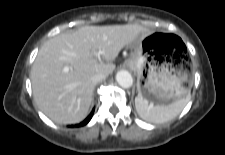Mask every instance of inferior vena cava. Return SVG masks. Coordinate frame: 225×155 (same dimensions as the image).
<instances>
[{
	"mask_svg": "<svg viewBox=\"0 0 225 155\" xmlns=\"http://www.w3.org/2000/svg\"><path fill=\"white\" fill-rule=\"evenodd\" d=\"M105 77H106L105 74H103V73H97V74L93 75L92 82L94 84H97V83L101 82L102 80H104Z\"/></svg>",
	"mask_w": 225,
	"mask_h": 155,
	"instance_id": "inferior-vena-cava-1",
	"label": "inferior vena cava"
}]
</instances>
